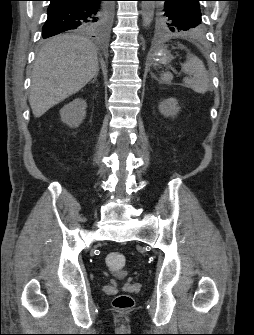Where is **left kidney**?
Wrapping results in <instances>:
<instances>
[{"instance_id":"left-kidney-1","label":"left kidney","mask_w":254,"mask_h":335,"mask_svg":"<svg viewBox=\"0 0 254 335\" xmlns=\"http://www.w3.org/2000/svg\"><path fill=\"white\" fill-rule=\"evenodd\" d=\"M159 111L165 117H175L180 111L178 101L175 98L165 99L159 104Z\"/></svg>"}]
</instances>
